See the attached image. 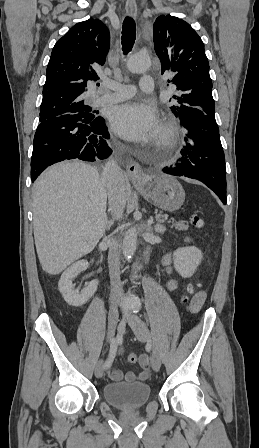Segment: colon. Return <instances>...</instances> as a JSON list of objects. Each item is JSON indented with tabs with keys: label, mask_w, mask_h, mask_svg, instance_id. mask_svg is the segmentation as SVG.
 Wrapping results in <instances>:
<instances>
[{
	"label": "colon",
	"mask_w": 259,
	"mask_h": 448,
	"mask_svg": "<svg viewBox=\"0 0 259 448\" xmlns=\"http://www.w3.org/2000/svg\"><path fill=\"white\" fill-rule=\"evenodd\" d=\"M192 222L197 227H201L203 225L202 219L197 215L193 216ZM196 295L197 293L195 287L189 286L187 289V294L182 299L183 303H188L191 300V298H194ZM128 359L131 363H136L137 361H139V357L134 353H131L128 356Z\"/></svg>",
	"instance_id": "5ec220e1"
}]
</instances>
